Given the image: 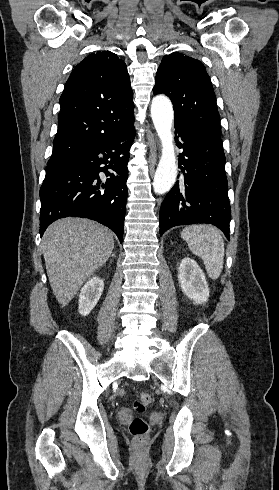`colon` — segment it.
Masks as SVG:
<instances>
[{"label": "colon", "instance_id": "colon-1", "mask_svg": "<svg viewBox=\"0 0 279 490\" xmlns=\"http://www.w3.org/2000/svg\"><path fill=\"white\" fill-rule=\"evenodd\" d=\"M153 396L150 393H142L135 401V410L138 414H142L145 411V407L152 403ZM129 431L134 436L135 442H146L148 424L146 420L137 415L129 425Z\"/></svg>", "mask_w": 279, "mask_h": 490}]
</instances>
